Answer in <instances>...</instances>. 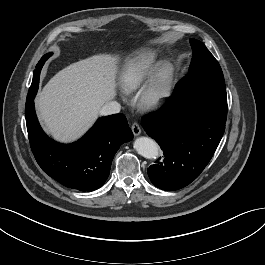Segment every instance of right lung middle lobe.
<instances>
[{
  "label": "right lung middle lobe",
  "instance_id": "obj_1",
  "mask_svg": "<svg viewBox=\"0 0 265 265\" xmlns=\"http://www.w3.org/2000/svg\"><path fill=\"white\" fill-rule=\"evenodd\" d=\"M51 53H48L46 55H44L41 60L39 61V63L36 66V70H34L33 73V81L31 84V87L29 89L28 95H27V99L28 98H34L36 93H37V89H38V84H39V76H40V71H41V66L44 64V62L51 56Z\"/></svg>",
  "mask_w": 265,
  "mask_h": 265
}]
</instances>
